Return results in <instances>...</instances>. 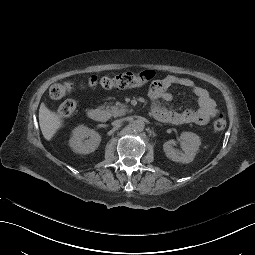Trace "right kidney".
<instances>
[{
	"label": "right kidney",
	"instance_id": "obj_1",
	"mask_svg": "<svg viewBox=\"0 0 255 255\" xmlns=\"http://www.w3.org/2000/svg\"><path fill=\"white\" fill-rule=\"evenodd\" d=\"M89 137V140L84 141ZM101 142L100 135L84 125H79L72 131V137L69 140V145L77 153L89 154L96 150Z\"/></svg>",
	"mask_w": 255,
	"mask_h": 255
}]
</instances>
